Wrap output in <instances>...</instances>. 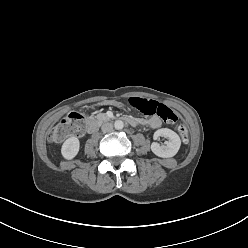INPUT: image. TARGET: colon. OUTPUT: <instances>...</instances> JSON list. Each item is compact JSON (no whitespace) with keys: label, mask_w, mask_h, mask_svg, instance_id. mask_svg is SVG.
I'll list each match as a JSON object with an SVG mask.
<instances>
[{"label":"colon","mask_w":248,"mask_h":248,"mask_svg":"<svg viewBox=\"0 0 248 248\" xmlns=\"http://www.w3.org/2000/svg\"><path fill=\"white\" fill-rule=\"evenodd\" d=\"M132 107L145 115H157L166 123H174L177 120L175 112L166 105L154 100L142 99L138 97L130 98ZM84 117L79 113H71L62 119L50 132V140L60 142L72 135H78L83 131ZM182 141L187 144L189 142L188 130L184 125L178 127Z\"/></svg>","instance_id":"colon-1"}]
</instances>
